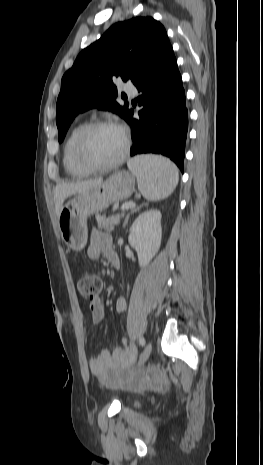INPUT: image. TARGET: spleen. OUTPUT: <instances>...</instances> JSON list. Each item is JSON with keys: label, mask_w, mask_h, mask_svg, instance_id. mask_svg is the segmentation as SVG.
<instances>
[{"label": "spleen", "mask_w": 263, "mask_h": 465, "mask_svg": "<svg viewBox=\"0 0 263 465\" xmlns=\"http://www.w3.org/2000/svg\"><path fill=\"white\" fill-rule=\"evenodd\" d=\"M127 165L137 178L140 193L149 201L167 198L178 184V169L166 157L140 155L129 160Z\"/></svg>", "instance_id": "1"}]
</instances>
